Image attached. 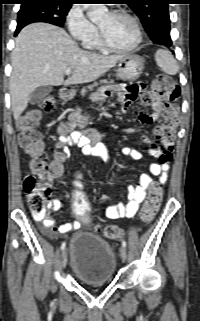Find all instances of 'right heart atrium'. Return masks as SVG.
Here are the masks:
<instances>
[{
    "label": "right heart atrium",
    "mask_w": 200,
    "mask_h": 321,
    "mask_svg": "<svg viewBox=\"0 0 200 321\" xmlns=\"http://www.w3.org/2000/svg\"><path fill=\"white\" fill-rule=\"evenodd\" d=\"M66 24L70 35L76 40L82 41L96 32V27L79 5H74L69 9Z\"/></svg>",
    "instance_id": "obj_1"
}]
</instances>
